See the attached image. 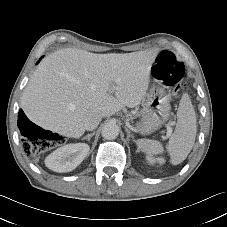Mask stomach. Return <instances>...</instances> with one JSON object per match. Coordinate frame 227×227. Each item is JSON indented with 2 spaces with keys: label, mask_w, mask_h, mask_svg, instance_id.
<instances>
[{
  "label": "stomach",
  "mask_w": 227,
  "mask_h": 227,
  "mask_svg": "<svg viewBox=\"0 0 227 227\" xmlns=\"http://www.w3.org/2000/svg\"><path fill=\"white\" fill-rule=\"evenodd\" d=\"M170 99L165 88L155 80L143 100L141 119L136 128L142 135H149L159 129L170 117Z\"/></svg>",
  "instance_id": "stomach-1"
}]
</instances>
